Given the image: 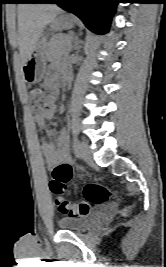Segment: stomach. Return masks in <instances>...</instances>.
<instances>
[{
  "instance_id": "0dacf381",
  "label": "stomach",
  "mask_w": 166,
  "mask_h": 267,
  "mask_svg": "<svg viewBox=\"0 0 166 267\" xmlns=\"http://www.w3.org/2000/svg\"><path fill=\"white\" fill-rule=\"evenodd\" d=\"M73 25L74 20L70 16L61 13L50 23L49 29L50 31H62L71 29ZM47 45V35L42 34L23 64V78L29 84L39 83L45 78Z\"/></svg>"
}]
</instances>
